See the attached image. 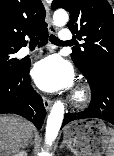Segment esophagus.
<instances>
[{
	"label": "esophagus",
	"mask_w": 114,
	"mask_h": 156,
	"mask_svg": "<svg viewBox=\"0 0 114 156\" xmlns=\"http://www.w3.org/2000/svg\"><path fill=\"white\" fill-rule=\"evenodd\" d=\"M48 30L49 32L52 33H56L57 32V28L54 26V24L52 23V21H50L49 25H48ZM43 104L45 109L48 111L51 109L52 106V100L46 97H43Z\"/></svg>",
	"instance_id": "obj_1"
}]
</instances>
